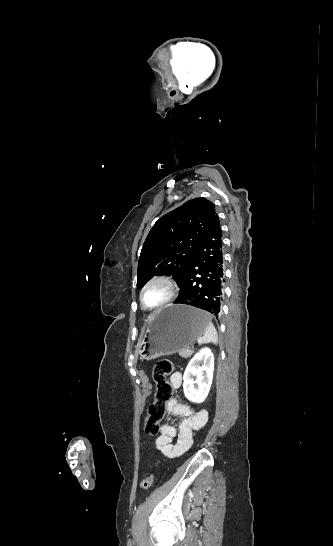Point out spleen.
Here are the masks:
<instances>
[{"label":"spleen","mask_w":333,"mask_h":546,"mask_svg":"<svg viewBox=\"0 0 333 546\" xmlns=\"http://www.w3.org/2000/svg\"><path fill=\"white\" fill-rule=\"evenodd\" d=\"M213 343L214 345L218 344V333L215 329L213 323L211 322V317L206 325L205 333L198 339V344H207Z\"/></svg>","instance_id":"1"}]
</instances>
